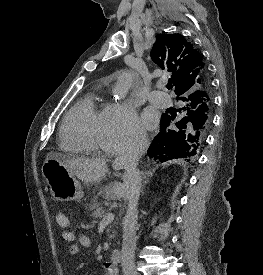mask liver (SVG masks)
<instances>
[{"instance_id": "liver-1", "label": "liver", "mask_w": 263, "mask_h": 275, "mask_svg": "<svg viewBox=\"0 0 263 275\" xmlns=\"http://www.w3.org/2000/svg\"><path fill=\"white\" fill-rule=\"evenodd\" d=\"M47 158H54L62 163L68 171L77 176L86 183H99L107 172L106 161L101 158H71L59 153H49ZM114 169H120L116 162H113ZM105 197L112 200H120L127 197V187L125 181L123 183L114 182L106 190Z\"/></svg>"}]
</instances>
